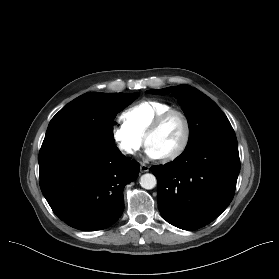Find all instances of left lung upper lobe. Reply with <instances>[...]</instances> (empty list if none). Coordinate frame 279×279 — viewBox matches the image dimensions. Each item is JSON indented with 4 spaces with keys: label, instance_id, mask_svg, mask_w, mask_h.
<instances>
[{
    "label": "left lung upper lobe",
    "instance_id": "left-lung-upper-lobe-1",
    "mask_svg": "<svg viewBox=\"0 0 279 279\" xmlns=\"http://www.w3.org/2000/svg\"><path fill=\"white\" fill-rule=\"evenodd\" d=\"M149 93L177 97L189 124L187 147L213 136L235 135L234 130L222 110L208 96L189 85H178Z\"/></svg>",
    "mask_w": 279,
    "mask_h": 279
}]
</instances>
